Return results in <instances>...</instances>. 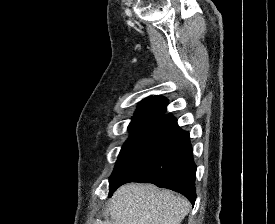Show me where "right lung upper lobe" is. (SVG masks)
Here are the masks:
<instances>
[{
    "mask_svg": "<svg viewBox=\"0 0 275 224\" xmlns=\"http://www.w3.org/2000/svg\"><path fill=\"white\" fill-rule=\"evenodd\" d=\"M167 104L168 100L165 97L150 96L141 101L136 114L149 112L164 113L166 111Z\"/></svg>",
    "mask_w": 275,
    "mask_h": 224,
    "instance_id": "1",
    "label": "right lung upper lobe"
}]
</instances>
